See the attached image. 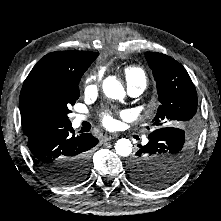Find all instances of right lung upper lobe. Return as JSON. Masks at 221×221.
Listing matches in <instances>:
<instances>
[{
	"instance_id": "right-lung-upper-lobe-1",
	"label": "right lung upper lobe",
	"mask_w": 221,
	"mask_h": 221,
	"mask_svg": "<svg viewBox=\"0 0 221 221\" xmlns=\"http://www.w3.org/2000/svg\"><path fill=\"white\" fill-rule=\"evenodd\" d=\"M99 54L84 51H60L45 55L31 70L23 87L30 82L46 76L61 75L90 66ZM26 136L38 129H23Z\"/></svg>"
}]
</instances>
